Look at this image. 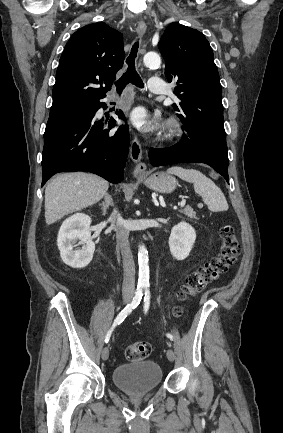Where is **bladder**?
Instances as JSON below:
<instances>
[{
	"label": "bladder",
	"mask_w": 283,
	"mask_h": 433,
	"mask_svg": "<svg viewBox=\"0 0 283 433\" xmlns=\"http://www.w3.org/2000/svg\"><path fill=\"white\" fill-rule=\"evenodd\" d=\"M113 383L125 392H145L158 388L162 380L159 364L152 360H139L118 366L112 374Z\"/></svg>",
	"instance_id": "31cf9c89"
}]
</instances>
